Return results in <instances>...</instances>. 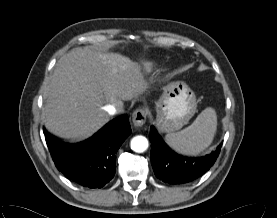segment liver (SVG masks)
<instances>
[{
  "mask_svg": "<svg viewBox=\"0 0 277 218\" xmlns=\"http://www.w3.org/2000/svg\"><path fill=\"white\" fill-rule=\"evenodd\" d=\"M146 88L128 57L75 48L58 61L46 88L45 126L62 138H86L109 120L107 104L123 105Z\"/></svg>",
  "mask_w": 277,
  "mask_h": 218,
  "instance_id": "obj_1",
  "label": "liver"
}]
</instances>
